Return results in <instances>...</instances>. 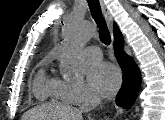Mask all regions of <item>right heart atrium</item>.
Returning <instances> with one entry per match:
<instances>
[{
	"instance_id": "1",
	"label": "right heart atrium",
	"mask_w": 165,
	"mask_h": 120,
	"mask_svg": "<svg viewBox=\"0 0 165 120\" xmlns=\"http://www.w3.org/2000/svg\"><path fill=\"white\" fill-rule=\"evenodd\" d=\"M58 84L64 99L70 103L81 104L94 99V95L83 81L58 80Z\"/></svg>"
}]
</instances>
